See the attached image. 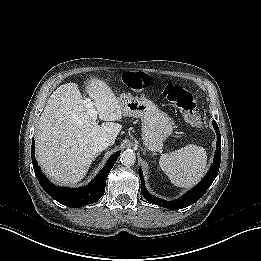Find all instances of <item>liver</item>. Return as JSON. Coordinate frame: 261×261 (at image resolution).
Masks as SVG:
<instances>
[{"label":"liver","instance_id":"1","mask_svg":"<svg viewBox=\"0 0 261 261\" xmlns=\"http://www.w3.org/2000/svg\"><path fill=\"white\" fill-rule=\"evenodd\" d=\"M86 89L99 118L106 122L98 125L90 117L76 83L58 87L39 118L36 158L55 183L80 182L97 157L95 140L106 137L112 145L122 128L116 123L122 119V107L111 88L103 80L91 78Z\"/></svg>","mask_w":261,"mask_h":261}]
</instances>
